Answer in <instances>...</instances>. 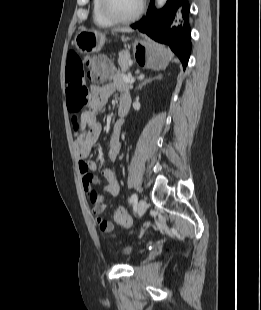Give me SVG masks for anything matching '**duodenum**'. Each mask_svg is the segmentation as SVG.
I'll return each instance as SVG.
<instances>
[{"instance_id":"obj_1","label":"duodenum","mask_w":261,"mask_h":310,"mask_svg":"<svg viewBox=\"0 0 261 310\" xmlns=\"http://www.w3.org/2000/svg\"><path fill=\"white\" fill-rule=\"evenodd\" d=\"M130 108V97L127 95H123L120 98L119 105H118V112L121 116L127 114Z\"/></svg>"}]
</instances>
